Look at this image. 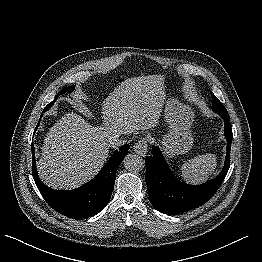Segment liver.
I'll return each mask as SVG.
<instances>
[{
	"instance_id": "1",
	"label": "liver",
	"mask_w": 262,
	"mask_h": 262,
	"mask_svg": "<svg viewBox=\"0 0 262 262\" xmlns=\"http://www.w3.org/2000/svg\"><path fill=\"white\" fill-rule=\"evenodd\" d=\"M165 77L128 78L102 103L101 127L75 113L65 114L49 130L37 170L51 188L73 189L89 181L108 158V140L156 126L165 99Z\"/></svg>"
}]
</instances>
